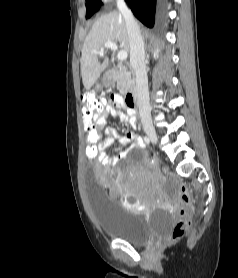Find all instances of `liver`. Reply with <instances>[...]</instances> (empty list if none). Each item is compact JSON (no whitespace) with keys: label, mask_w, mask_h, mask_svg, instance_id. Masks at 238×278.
Wrapping results in <instances>:
<instances>
[{"label":"liver","mask_w":238,"mask_h":278,"mask_svg":"<svg viewBox=\"0 0 238 278\" xmlns=\"http://www.w3.org/2000/svg\"><path fill=\"white\" fill-rule=\"evenodd\" d=\"M106 42H118L126 52L130 49L126 22L117 11L99 17L85 39L80 62L82 82L86 90L94 85L109 65L108 57L102 63L98 61L99 51Z\"/></svg>","instance_id":"6515ba94"}]
</instances>
